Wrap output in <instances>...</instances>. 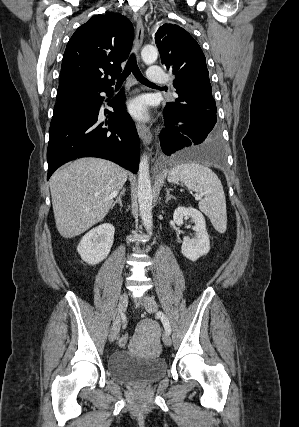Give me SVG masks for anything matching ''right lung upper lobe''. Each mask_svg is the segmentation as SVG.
Masks as SVG:
<instances>
[{
	"instance_id": "1",
	"label": "right lung upper lobe",
	"mask_w": 299,
	"mask_h": 427,
	"mask_svg": "<svg viewBox=\"0 0 299 427\" xmlns=\"http://www.w3.org/2000/svg\"><path fill=\"white\" fill-rule=\"evenodd\" d=\"M133 38L132 23L114 12L93 16L80 26L63 56L57 102L111 87L121 73L120 64L127 59Z\"/></svg>"
}]
</instances>
